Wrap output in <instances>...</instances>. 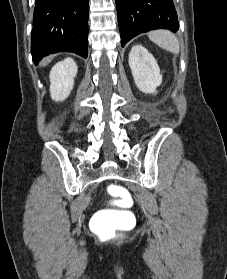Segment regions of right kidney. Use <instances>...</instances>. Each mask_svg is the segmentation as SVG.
Masks as SVG:
<instances>
[{
  "label": "right kidney",
  "instance_id": "ca27d5eb",
  "mask_svg": "<svg viewBox=\"0 0 227 279\" xmlns=\"http://www.w3.org/2000/svg\"><path fill=\"white\" fill-rule=\"evenodd\" d=\"M77 69L75 61L70 57L52 67L49 79L51 98L54 101H63L70 95Z\"/></svg>",
  "mask_w": 227,
  "mask_h": 279
}]
</instances>
